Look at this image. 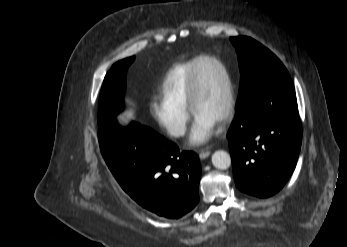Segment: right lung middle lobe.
I'll return each mask as SVG.
<instances>
[{"label": "right lung middle lobe", "instance_id": "dd1d6c3e", "mask_svg": "<svg viewBox=\"0 0 347 247\" xmlns=\"http://www.w3.org/2000/svg\"><path fill=\"white\" fill-rule=\"evenodd\" d=\"M134 59L135 56L115 63L106 74L99 99V127L116 121V115L123 109L126 69Z\"/></svg>", "mask_w": 347, "mask_h": 247}]
</instances>
